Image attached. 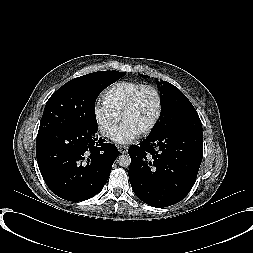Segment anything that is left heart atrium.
Masks as SVG:
<instances>
[{
  "mask_svg": "<svg viewBox=\"0 0 253 253\" xmlns=\"http://www.w3.org/2000/svg\"><path fill=\"white\" fill-rule=\"evenodd\" d=\"M140 136V132L127 123H122L114 132L112 140L118 144H129Z\"/></svg>",
  "mask_w": 253,
  "mask_h": 253,
  "instance_id": "1",
  "label": "left heart atrium"
}]
</instances>
